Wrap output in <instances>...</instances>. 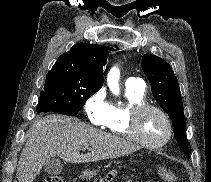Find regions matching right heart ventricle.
I'll return each mask as SVG.
<instances>
[{
    "instance_id": "e07e8e85",
    "label": "right heart ventricle",
    "mask_w": 211,
    "mask_h": 182,
    "mask_svg": "<svg viewBox=\"0 0 211 182\" xmlns=\"http://www.w3.org/2000/svg\"><path fill=\"white\" fill-rule=\"evenodd\" d=\"M125 96L126 105L111 104L109 115L103 127L117 136L131 138L128 132L129 111L134 105L145 102V94L144 91L126 88Z\"/></svg>"
}]
</instances>
